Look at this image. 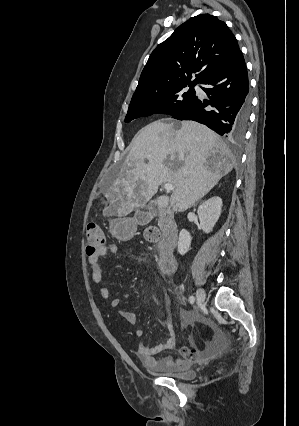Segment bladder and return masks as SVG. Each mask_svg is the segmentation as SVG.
Segmentation results:
<instances>
[{"label": "bladder", "mask_w": 299, "mask_h": 426, "mask_svg": "<svg viewBox=\"0 0 299 426\" xmlns=\"http://www.w3.org/2000/svg\"><path fill=\"white\" fill-rule=\"evenodd\" d=\"M153 372L161 373L167 377L176 379V380H192L196 377V371L193 369H178V368H172V369H154L151 368Z\"/></svg>", "instance_id": "obj_1"}]
</instances>
